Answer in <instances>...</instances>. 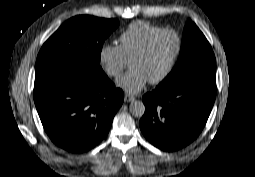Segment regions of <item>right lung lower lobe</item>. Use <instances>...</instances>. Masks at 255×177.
<instances>
[{"label": "right lung lower lobe", "instance_id": "1", "mask_svg": "<svg viewBox=\"0 0 255 177\" xmlns=\"http://www.w3.org/2000/svg\"><path fill=\"white\" fill-rule=\"evenodd\" d=\"M124 100L102 71L51 68L35 73L34 102L51 140L71 152L96 146Z\"/></svg>", "mask_w": 255, "mask_h": 177}]
</instances>
